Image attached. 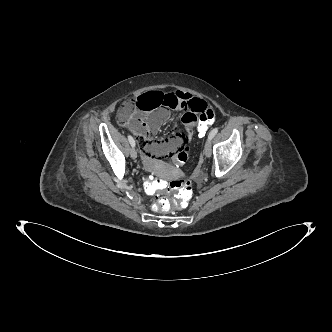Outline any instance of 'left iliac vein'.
I'll use <instances>...</instances> for the list:
<instances>
[{
    "instance_id": "left-iliac-vein-1",
    "label": "left iliac vein",
    "mask_w": 332,
    "mask_h": 332,
    "mask_svg": "<svg viewBox=\"0 0 332 332\" xmlns=\"http://www.w3.org/2000/svg\"><path fill=\"white\" fill-rule=\"evenodd\" d=\"M211 140L209 137L206 140L205 146H204V154L206 157H210L212 154V150H211Z\"/></svg>"
}]
</instances>
